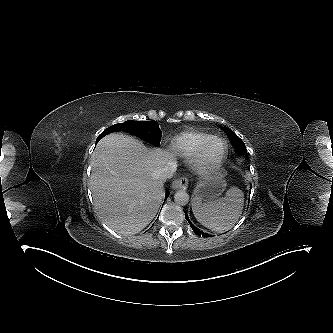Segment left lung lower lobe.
<instances>
[{"label":"left lung lower lobe","mask_w":333,"mask_h":333,"mask_svg":"<svg viewBox=\"0 0 333 333\" xmlns=\"http://www.w3.org/2000/svg\"><path fill=\"white\" fill-rule=\"evenodd\" d=\"M185 218L187 219L188 223L190 224L191 228L193 229V231L198 235V236H203V237H210V235L201 232L199 229H197L189 220L188 215L185 213Z\"/></svg>","instance_id":"obj_1"}]
</instances>
